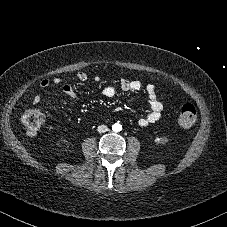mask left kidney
<instances>
[{
    "mask_svg": "<svg viewBox=\"0 0 227 227\" xmlns=\"http://www.w3.org/2000/svg\"><path fill=\"white\" fill-rule=\"evenodd\" d=\"M161 141H162L161 138L156 137V139H155V142H156V143H161Z\"/></svg>",
    "mask_w": 227,
    "mask_h": 227,
    "instance_id": "5707ae66",
    "label": "left kidney"
}]
</instances>
